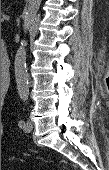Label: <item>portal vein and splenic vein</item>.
<instances>
[{
	"mask_svg": "<svg viewBox=\"0 0 109 170\" xmlns=\"http://www.w3.org/2000/svg\"><path fill=\"white\" fill-rule=\"evenodd\" d=\"M4 20L8 21V20H9V17L6 16V15H4V16L1 18V21H4Z\"/></svg>",
	"mask_w": 109,
	"mask_h": 170,
	"instance_id": "18ae733b",
	"label": "portal vein and splenic vein"
}]
</instances>
